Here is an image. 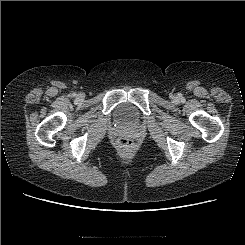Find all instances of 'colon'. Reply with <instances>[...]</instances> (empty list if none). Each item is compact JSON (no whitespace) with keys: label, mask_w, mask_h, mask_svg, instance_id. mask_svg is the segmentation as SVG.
Segmentation results:
<instances>
[{"label":"colon","mask_w":245,"mask_h":245,"mask_svg":"<svg viewBox=\"0 0 245 245\" xmlns=\"http://www.w3.org/2000/svg\"><path fill=\"white\" fill-rule=\"evenodd\" d=\"M119 145L124 149H130L133 146V142L130 139L123 138L119 141Z\"/></svg>","instance_id":"1"}]
</instances>
